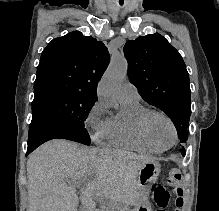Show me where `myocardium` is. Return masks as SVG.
I'll return each instance as SVG.
<instances>
[{"label":"myocardium","instance_id":"obj_1","mask_svg":"<svg viewBox=\"0 0 219 211\" xmlns=\"http://www.w3.org/2000/svg\"><path fill=\"white\" fill-rule=\"evenodd\" d=\"M154 117H162L164 119L167 120V122L170 124L172 130H173V134H174V142L165 148L160 147L157 142L154 140L151 131H150V122ZM138 128L139 131L141 133V135L143 136V138L150 143L151 145H153L154 147H156L159 150H168L172 147H174L178 141V133H177V129L175 126V123L173 122V120L163 111H159V110H154V109H145L141 112V114L138 117Z\"/></svg>","mask_w":219,"mask_h":211}]
</instances>
